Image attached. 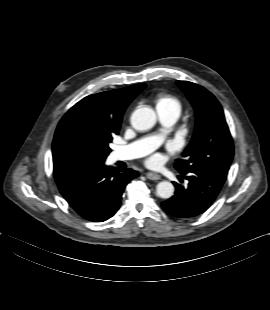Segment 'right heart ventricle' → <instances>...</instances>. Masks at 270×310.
Masks as SVG:
<instances>
[{"mask_svg":"<svg viewBox=\"0 0 270 310\" xmlns=\"http://www.w3.org/2000/svg\"><path fill=\"white\" fill-rule=\"evenodd\" d=\"M158 113L174 114L179 116L182 111L180 100L172 94L160 93L155 97Z\"/></svg>","mask_w":270,"mask_h":310,"instance_id":"1","label":"right heart ventricle"}]
</instances>
